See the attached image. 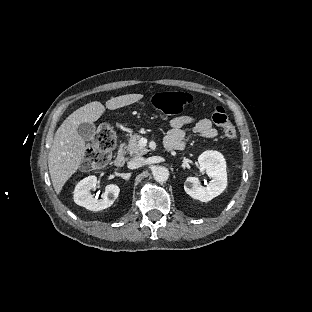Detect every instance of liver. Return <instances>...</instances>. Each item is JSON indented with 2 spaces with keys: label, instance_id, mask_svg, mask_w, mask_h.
<instances>
[{
  "label": "liver",
  "instance_id": "obj_1",
  "mask_svg": "<svg viewBox=\"0 0 312 312\" xmlns=\"http://www.w3.org/2000/svg\"><path fill=\"white\" fill-rule=\"evenodd\" d=\"M142 94H127L111 98L106 108L115 110L133 104ZM105 111L98 101L90 102L70 114L57 129L48 156V167L54 190L59 194L66 181L78 170L86 150L85 140L78 134L81 123L97 121Z\"/></svg>",
  "mask_w": 312,
  "mask_h": 312
}]
</instances>
